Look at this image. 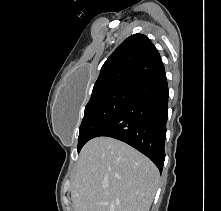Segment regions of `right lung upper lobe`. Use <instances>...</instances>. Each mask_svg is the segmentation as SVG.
Wrapping results in <instances>:
<instances>
[{
	"label": "right lung upper lobe",
	"mask_w": 221,
	"mask_h": 211,
	"mask_svg": "<svg viewBox=\"0 0 221 211\" xmlns=\"http://www.w3.org/2000/svg\"><path fill=\"white\" fill-rule=\"evenodd\" d=\"M164 75L165 69L156 47L145 35L134 34L103 64L91 97L117 88L135 89Z\"/></svg>",
	"instance_id": "right-lung-upper-lobe-1"
}]
</instances>
